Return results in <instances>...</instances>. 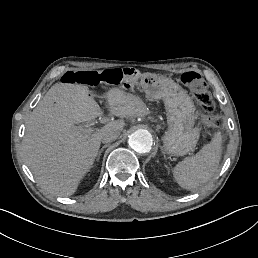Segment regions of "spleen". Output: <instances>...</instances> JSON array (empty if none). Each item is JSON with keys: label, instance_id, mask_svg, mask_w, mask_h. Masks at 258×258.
I'll return each instance as SVG.
<instances>
[{"label": "spleen", "instance_id": "3e777b00", "mask_svg": "<svg viewBox=\"0 0 258 258\" xmlns=\"http://www.w3.org/2000/svg\"><path fill=\"white\" fill-rule=\"evenodd\" d=\"M221 153L222 133L216 131L209 143L174 168L178 184L187 190H194L207 183L218 169Z\"/></svg>", "mask_w": 258, "mask_h": 258}]
</instances>
